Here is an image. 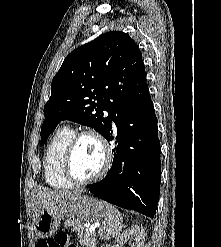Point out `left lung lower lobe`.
I'll return each mask as SVG.
<instances>
[{
    "mask_svg": "<svg viewBox=\"0 0 221 247\" xmlns=\"http://www.w3.org/2000/svg\"><path fill=\"white\" fill-rule=\"evenodd\" d=\"M116 147L106 177L88 186L97 197L151 218L160 193L161 163L157 118L151 97L115 113ZM105 138L113 140L112 125Z\"/></svg>",
    "mask_w": 221,
    "mask_h": 247,
    "instance_id": "0a47b994",
    "label": "left lung lower lobe"
}]
</instances>
